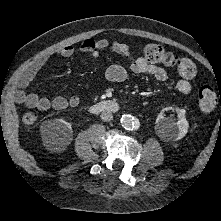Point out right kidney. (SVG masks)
Listing matches in <instances>:
<instances>
[{"mask_svg": "<svg viewBox=\"0 0 221 221\" xmlns=\"http://www.w3.org/2000/svg\"><path fill=\"white\" fill-rule=\"evenodd\" d=\"M72 126L62 119L48 120L41 125V135L48 147L60 150L72 140Z\"/></svg>", "mask_w": 221, "mask_h": 221, "instance_id": "obj_1", "label": "right kidney"}]
</instances>
